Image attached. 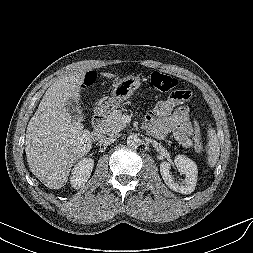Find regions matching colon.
<instances>
[{"label":"colon","mask_w":253,"mask_h":253,"mask_svg":"<svg viewBox=\"0 0 253 253\" xmlns=\"http://www.w3.org/2000/svg\"><path fill=\"white\" fill-rule=\"evenodd\" d=\"M95 79L93 72L86 74L84 79L85 85H90ZM150 86L153 90L158 92H170L172 91L171 96L175 99H183L188 101L190 99V92L188 90H174L177 86V80L170 76L163 74L159 71H154L150 76ZM194 145L197 149H202V142L199 135L196 133L194 136Z\"/></svg>","instance_id":"obj_1"}]
</instances>
